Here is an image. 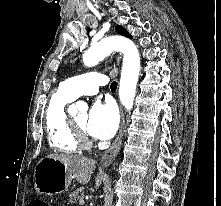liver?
Returning a JSON list of instances; mask_svg holds the SVG:
<instances>
[{
	"label": "liver",
	"mask_w": 221,
	"mask_h": 206,
	"mask_svg": "<svg viewBox=\"0 0 221 206\" xmlns=\"http://www.w3.org/2000/svg\"><path fill=\"white\" fill-rule=\"evenodd\" d=\"M48 157L63 162L68 171L72 174L73 178H75L81 184H86L89 182L93 170L96 167V162L94 160L85 157L59 154H52ZM104 177V173L100 171L95 179V189H98Z\"/></svg>",
	"instance_id": "6515ba94"
}]
</instances>
